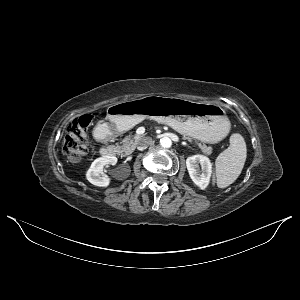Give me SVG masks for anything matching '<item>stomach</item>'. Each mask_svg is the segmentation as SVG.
Instances as JSON below:
<instances>
[{
    "label": "stomach",
    "instance_id": "stomach-1",
    "mask_svg": "<svg viewBox=\"0 0 300 300\" xmlns=\"http://www.w3.org/2000/svg\"><path fill=\"white\" fill-rule=\"evenodd\" d=\"M105 123L110 135L124 132L146 118L165 123L205 143H218L229 133L225 110L216 104L178 97L146 96L108 107Z\"/></svg>",
    "mask_w": 300,
    "mask_h": 300
}]
</instances>
